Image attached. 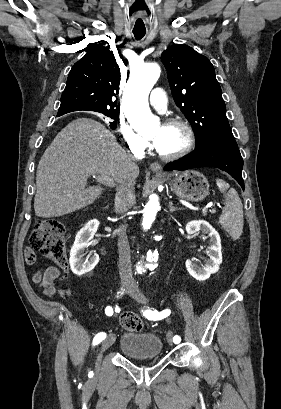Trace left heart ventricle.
I'll return each mask as SVG.
<instances>
[{"label": "left heart ventricle", "mask_w": 281, "mask_h": 409, "mask_svg": "<svg viewBox=\"0 0 281 409\" xmlns=\"http://www.w3.org/2000/svg\"><path fill=\"white\" fill-rule=\"evenodd\" d=\"M147 139L160 152L173 153L183 147L186 142V135L179 126L158 124L148 133Z\"/></svg>", "instance_id": "b2bd125f"}]
</instances>
